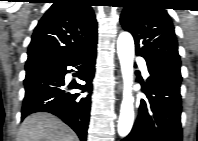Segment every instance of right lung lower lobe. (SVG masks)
<instances>
[{"mask_svg":"<svg viewBox=\"0 0 198 141\" xmlns=\"http://www.w3.org/2000/svg\"><path fill=\"white\" fill-rule=\"evenodd\" d=\"M97 37L88 41L72 56L26 71L25 97L22 117L35 112H49L61 118L79 136L86 140L90 117L92 80L95 73ZM67 66L83 70L80 79L85 85H70L68 89L88 91V95L71 94L65 88Z\"/></svg>","mask_w":198,"mask_h":141,"instance_id":"right-lung-lower-lobe-1","label":"right lung lower lobe"}]
</instances>
